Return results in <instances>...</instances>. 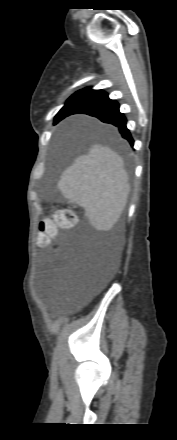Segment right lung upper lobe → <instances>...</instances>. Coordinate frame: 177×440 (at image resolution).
<instances>
[{
  "label": "right lung upper lobe",
  "instance_id": "obj_1",
  "mask_svg": "<svg viewBox=\"0 0 177 440\" xmlns=\"http://www.w3.org/2000/svg\"><path fill=\"white\" fill-rule=\"evenodd\" d=\"M75 94H78V95H81L84 97L93 98L95 100V102H98L100 100L108 98V95L105 92H103L102 90H92L91 88H86V89L80 90V91L76 92ZM62 119L61 118L55 119V123L59 122Z\"/></svg>",
  "mask_w": 177,
  "mask_h": 440
}]
</instances>
